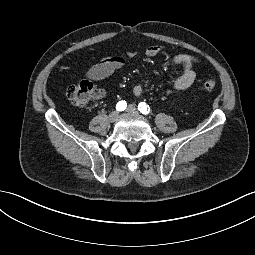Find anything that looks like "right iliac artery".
I'll return each mask as SVG.
<instances>
[{
  "label": "right iliac artery",
  "instance_id": "1",
  "mask_svg": "<svg viewBox=\"0 0 255 255\" xmlns=\"http://www.w3.org/2000/svg\"><path fill=\"white\" fill-rule=\"evenodd\" d=\"M127 107V103L126 101H119L117 104H116V110L117 111H124Z\"/></svg>",
  "mask_w": 255,
  "mask_h": 255
}]
</instances>
